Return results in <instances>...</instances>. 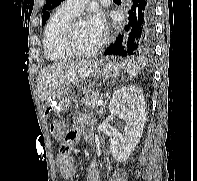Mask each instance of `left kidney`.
Segmentation results:
<instances>
[{"mask_svg":"<svg viewBox=\"0 0 197 181\" xmlns=\"http://www.w3.org/2000/svg\"><path fill=\"white\" fill-rule=\"evenodd\" d=\"M145 100L140 88L124 86L112 96L110 113L126 121L125 132L110 141V152L118 162H126L142 136L146 122Z\"/></svg>","mask_w":197,"mask_h":181,"instance_id":"obj_1","label":"left kidney"}]
</instances>
